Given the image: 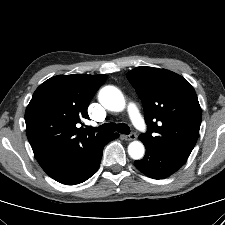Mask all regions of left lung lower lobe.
<instances>
[{
  "mask_svg": "<svg viewBox=\"0 0 225 225\" xmlns=\"http://www.w3.org/2000/svg\"><path fill=\"white\" fill-rule=\"evenodd\" d=\"M146 147V154L142 160L135 161L138 170L154 179H164L186 162L160 148L143 142Z\"/></svg>",
  "mask_w": 225,
  "mask_h": 225,
  "instance_id": "obj_1",
  "label": "left lung lower lobe"
}]
</instances>
